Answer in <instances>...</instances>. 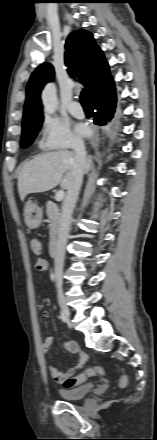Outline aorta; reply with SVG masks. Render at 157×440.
<instances>
[{
  "label": "aorta",
  "instance_id": "762f6f07",
  "mask_svg": "<svg viewBox=\"0 0 157 440\" xmlns=\"http://www.w3.org/2000/svg\"><path fill=\"white\" fill-rule=\"evenodd\" d=\"M44 111L47 114H54L58 107L56 87L53 83L47 84L41 94Z\"/></svg>",
  "mask_w": 157,
  "mask_h": 440
}]
</instances>
